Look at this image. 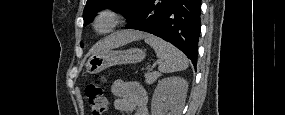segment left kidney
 Instances as JSON below:
<instances>
[{
	"label": "left kidney",
	"instance_id": "obj_1",
	"mask_svg": "<svg viewBox=\"0 0 285 115\" xmlns=\"http://www.w3.org/2000/svg\"><path fill=\"white\" fill-rule=\"evenodd\" d=\"M188 83L180 77L158 82L151 102V115H180L185 105Z\"/></svg>",
	"mask_w": 285,
	"mask_h": 115
}]
</instances>
